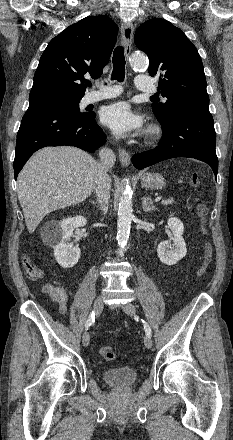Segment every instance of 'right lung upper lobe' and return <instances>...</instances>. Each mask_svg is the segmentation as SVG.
I'll use <instances>...</instances> for the list:
<instances>
[{"instance_id":"right-lung-upper-lobe-1","label":"right lung upper lobe","mask_w":233,"mask_h":440,"mask_svg":"<svg viewBox=\"0 0 233 440\" xmlns=\"http://www.w3.org/2000/svg\"><path fill=\"white\" fill-rule=\"evenodd\" d=\"M117 30L107 16H88L54 37L40 58L29 106L81 99L86 89L84 75L100 77L115 46Z\"/></svg>"}]
</instances>
